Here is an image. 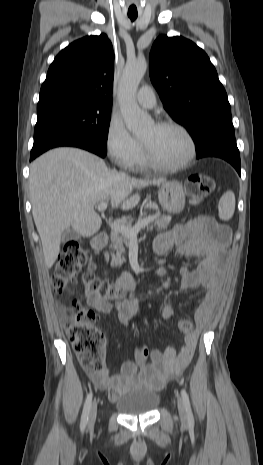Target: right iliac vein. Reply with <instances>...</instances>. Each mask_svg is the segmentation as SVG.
Instances as JSON below:
<instances>
[{
	"mask_svg": "<svg viewBox=\"0 0 263 465\" xmlns=\"http://www.w3.org/2000/svg\"><path fill=\"white\" fill-rule=\"evenodd\" d=\"M97 415V402L94 401L91 405L90 414H89V428H92Z\"/></svg>",
	"mask_w": 263,
	"mask_h": 465,
	"instance_id": "obj_1",
	"label": "right iliac vein"
}]
</instances>
